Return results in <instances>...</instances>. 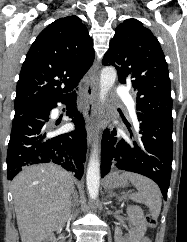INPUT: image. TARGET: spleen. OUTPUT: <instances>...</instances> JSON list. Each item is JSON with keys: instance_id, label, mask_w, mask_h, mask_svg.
Here are the masks:
<instances>
[{"instance_id": "1", "label": "spleen", "mask_w": 187, "mask_h": 242, "mask_svg": "<svg viewBox=\"0 0 187 242\" xmlns=\"http://www.w3.org/2000/svg\"><path fill=\"white\" fill-rule=\"evenodd\" d=\"M123 175L132 182L138 191L132 194L131 198L138 203L145 204L152 216L157 218L162 205V195L157 184L151 179L136 173L125 172Z\"/></svg>"}]
</instances>
